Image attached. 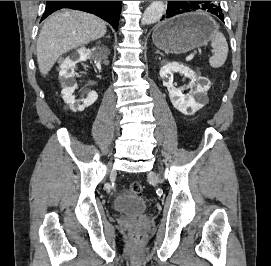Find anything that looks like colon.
I'll return each instance as SVG.
<instances>
[{"label":"colon","mask_w":271,"mask_h":266,"mask_svg":"<svg viewBox=\"0 0 271 266\" xmlns=\"http://www.w3.org/2000/svg\"><path fill=\"white\" fill-rule=\"evenodd\" d=\"M129 190L134 195H141L142 193V186L139 182H132L129 186ZM143 234L139 231L133 233V238L136 241H141L143 239Z\"/></svg>","instance_id":"5ec220e1"}]
</instances>
